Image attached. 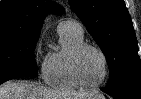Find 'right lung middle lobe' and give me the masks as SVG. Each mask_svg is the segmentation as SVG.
<instances>
[{"label": "right lung middle lobe", "instance_id": "dd1d6c3e", "mask_svg": "<svg viewBox=\"0 0 141 99\" xmlns=\"http://www.w3.org/2000/svg\"><path fill=\"white\" fill-rule=\"evenodd\" d=\"M39 34L0 32V80L13 76L38 75L33 52Z\"/></svg>", "mask_w": 141, "mask_h": 99}]
</instances>
